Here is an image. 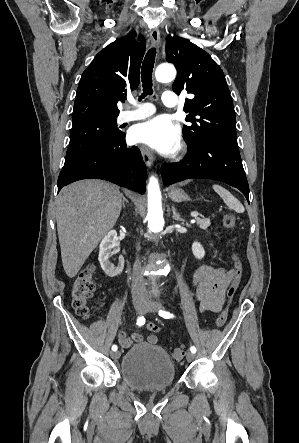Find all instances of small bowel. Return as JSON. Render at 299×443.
I'll return each mask as SVG.
<instances>
[{"instance_id": "1", "label": "small bowel", "mask_w": 299, "mask_h": 443, "mask_svg": "<svg viewBox=\"0 0 299 443\" xmlns=\"http://www.w3.org/2000/svg\"><path fill=\"white\" fill-rule=\"evenodd\" d=\"M232 279V270H226L221 267L204 265L197 268L192 274V284L195 287L196 299L199 302L201 312L211 311L219 312L222 309L225 300V292ZM147 330L152 333L146 339L138 333L128 336L124 331L119 332V342L123 348H129L133 343L146 341L149 344H156L158 337L155 333L161 330V327L155 323H148Z\"/></svg>"}]
</instances>
